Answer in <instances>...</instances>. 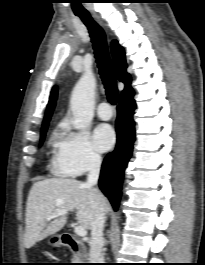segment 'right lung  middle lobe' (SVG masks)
Returning <instances> with one entry per match:
<instances>
[{
  "mask_svg": "<svg viewBox=\"0 0 205 265\" xmlns=\"http://www.w3.org/2000/svg\"><path fill=\"white\" fill-rule=\"evenodd\" d=\"M46 130H47V126L42 128V131H41V143L43 142L44 138H45V134H46Z\"/></svg>",
  "mask_w": 205,
  "mask_h": 265,
  "instance_id": "right-lung-middle-lobe-1",
  "label": "right lung middle lobe"
}]
</instances>
